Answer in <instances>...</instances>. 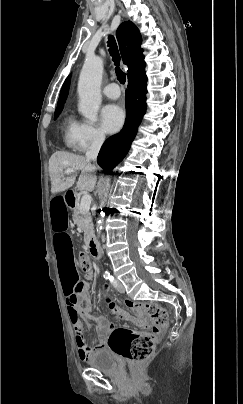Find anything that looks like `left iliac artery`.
<instances>
[{
    "mask_svg": "<svg viewBox=\"0 0 243 404\" xmlns=\"http://www.w3.org/2000/svg\"><path fill=\"white\" fill-rule=\"evenodd\" d=\"M109 280H110L111 284H112L114 287H116V281H115L114 277L111 276V278H110Z\"/></svg>",
    "mask_w": 243,
    "mask_h": 404,
    "instance_id": "left-iliac-artery-1",
    "label": "left iliac artery"
}]
</instances>
